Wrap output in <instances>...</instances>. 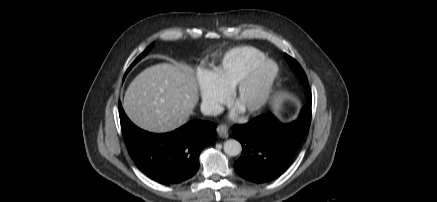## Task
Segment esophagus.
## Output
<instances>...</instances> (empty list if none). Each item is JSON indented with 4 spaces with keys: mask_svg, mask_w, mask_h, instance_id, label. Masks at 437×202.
<instances>
[{
    "mask_svg": "<svg viewBox=\"0 0 437 202\" xmlns=\"http://www.w3.org/2000/svg\"><path fill=\"white\" fill-rule=\"evenodd\" d=\"M217 133L219 136H226L228 134V127L224 124H221L217 127Z\"/></svg>",
    "mask_w": 437,
    "mask_h": 202,
    "instance_id": "obj_1",
    "label": "esophagus"
}]
</instances>
